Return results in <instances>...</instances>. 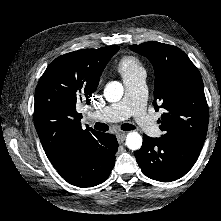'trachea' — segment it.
<instances>
[{"instance_id": "1", "label": "trachea", "mask_w": 221, "mask_h": 221, "mask_svg": "<svg viewBox=\"0 0 221 221\" xmlns=\"http://www.w3.org/2000/svg\"><path fill=\"white\" fill-rule=\"evenodd\" d=\"M94 128L99 131H107L109 129V127L105 123H100V122L95 123ZM121 129L125 131L134 130L135 126L126 123L122 124Z\"/></svg>"}]
</instances>
